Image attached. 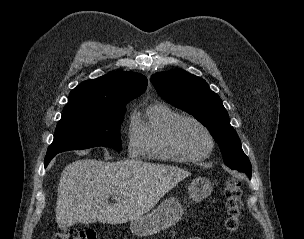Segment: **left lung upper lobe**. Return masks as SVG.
<instances>
[{"mask_svg": "<svg viewBox=\"0 0 304 239\" xmlns=\"http://www.w3.org/2000/svg\"><path fill=\"white\" fill-rule=\"evenodd\" d=\"M151 82L167 102L196 117L219 144L224 163L251 177L252 167L220 97L205 80L182 69L155 73Z\"/></svg>", "mask_w": 304, "mask_h": 239, "instance_id": "left-lung-upper-lobe-1", "label": "left lung upper lobe"}]
</instances>
